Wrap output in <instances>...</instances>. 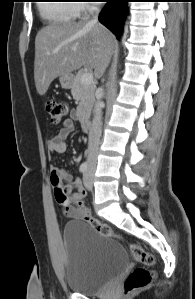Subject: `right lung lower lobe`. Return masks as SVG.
<instances>
[{"label":"right lung lower lobe","mask_w":195,"mask_h":299,"mask_svg":"<svg viewBox=\"0 0 195 299\" xmlns=\"http://www.w3.org/2000/svg\"><path fill=\"white\" fill-rule=\"evenodd\" d=\"M106 1V5L99 15V20L115 34L117 39H119L126 17L127 2L129 0Z\"/></svg>","instance_id":"right-lung-lower-lobe-1"}]
</instances>
